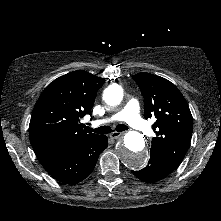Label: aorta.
Instances as JSON below:
<instances>
[{
	"mask_svg": "<svg viewBox=\"0 0 221 221\" xmlns=\"http://www.w3.org/2000/svg\"><path fill=\"white\" fill-rule=\"evenodd\" d=\"M103 98L110 106H118L123 101V92L119 85H111L105 89ZM120 161L133 170L141 169L147 162L145 140L141 133L129 131L125 134L123 143L117 149Z\"/></svg>",
	"mask_w": 221,
	"mask_h": 221,
	"instance_id": "762f6f07",
	"label": "aorta"
}]
</instances>
